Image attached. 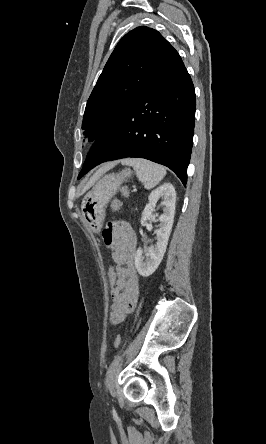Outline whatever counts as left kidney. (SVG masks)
<instances>
[{"instance_id":"left-kidney-1","label":"left kidney","mask_w":266,"mask_h":444,"mask_svg":"<svg viewBox=\"0 0 266 444\" xmlns=\"http://www.w3.org/2000/svg\"><path fill=\"white\" fill-rule=\"evenodd\" d=\"M160 199L163 200L164 213L158 217L160 225L159 229L155 231L156 244L148 248L145 255L147 257L146 262L143 261L144 256L141 248H138L135 253V266L138 273L143 277H148L155 272L166 252L172 230L176 203V192L171 183H165L150 193L148 204L145 206L141 218L142 226L146 221H153L158 216V214L153 215L152 212L154 206Z\"/></svg>"}]
</instances>
